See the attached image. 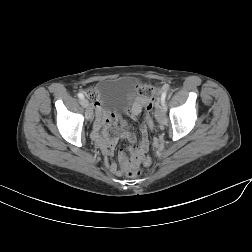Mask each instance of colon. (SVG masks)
Returning <instances> with one entry per match:
<instances>
[{"mask_svg": "<svg viewBox=\"0 0 252 252\" xmlns=\"http://www.w3.org/2000/svg\"><path fill=\"white\" fill-rule=\"evenodd\" d=\"M138 90L143 94H148L151 92V88L145 85H139ZM86 96L92 101L96 102L98 100V95L93 89H88L85 92ZM152 108H153V102L149 103V105L146 107V111L144 114V121L147 125H152ZM142 173V168L140 166H135L127 169L126 176L129 178H136Z\"/></svg>", "mask_w": 252, "mask_h": 252, "instance_id": "5ec220e1", "label": "colon"}]
</instances>
